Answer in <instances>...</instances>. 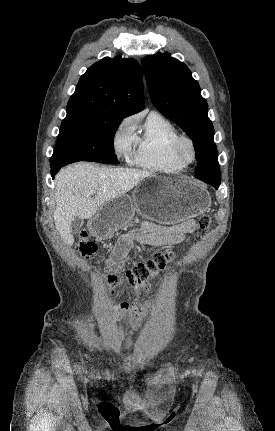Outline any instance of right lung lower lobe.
I'll use <instances>...</instances> for the list:
<instances>
[{"label": "right lung lower lobe", "instance_id": "obj_1", "mask_svg": "<svg viewBox=\"0 0 275 431\" xmlns=\"http://www.w3.org/2000/svg\"><path fill=\"white\" fill-rule=\"evenodd\" d=\"M61 167H62V165L51 166V176H52V178H54L55 174L60 170Z\"/></svg>", "mask_w": 275, "mask_h": 431}]
</instances>
